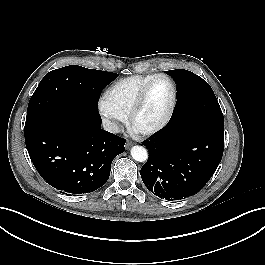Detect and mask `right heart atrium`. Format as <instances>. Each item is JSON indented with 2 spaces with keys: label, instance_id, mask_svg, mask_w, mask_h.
Masks as SVG:
<instances>
[{
  "label": "right heart atrium",
  "instance_id": "d8ad5b80",
  "mask_svg": "<svg viewBox=\"0 0 265 265\" xmlns=\"http://www.w3.org/2000/svg\"><path fill=\"white\" fill-rule=\"evenodd\" d=\"M98 108L107 130L114 134L118 133L121 125L126 121V117L109 107L104 100L100 101Z\"/></svg>",
  "mask_w": 265,
  "mask_h": 265
}]
</instances>
